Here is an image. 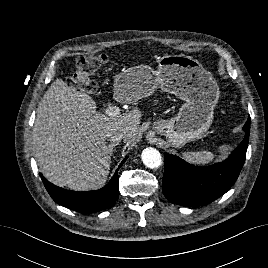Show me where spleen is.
Returning a JSON list of instances; mask_svg holds the SVG:
<instances>
[{"mask_svg":"<svg viewBox=\"0 0 268 268\" xmlns=\"http://www.w3.org/2000/svg\"><path fill=\"white\" fill-rule=\"evenodd\" d=\"M182 156L186 161L197 165L208 164L215 157V155L209 151L184 152Z\"/></svg>","mask_w":268,"mask_h":268,"instance_id":"spleen-1","label":"spleen"}]
</instances>
